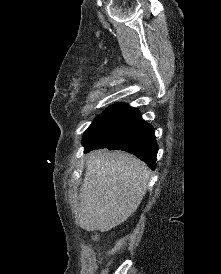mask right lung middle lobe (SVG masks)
I'll list each match as a JSON object with an SVG mask.
<instances>
[{
	"mask_svg": "<svg viewBox=\"0 0 221 274\" xmlns=\"http://www.w3.org/2000/svg\"><path fill=\"white\" fill-rule=\"evenodd\" d=\"M128 104L116 103L107 108L102 114H100L83 135V144L91 141L104 129H106L111 123H113L126 109Z\"/></svg>",
	"mask_w": 221,
	"mask_h": 274,
	"instance_id": "1",
	"label": "right lung middle lobe"
}]
</instances>
